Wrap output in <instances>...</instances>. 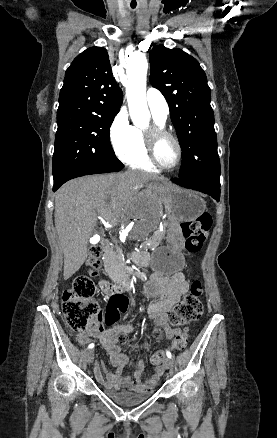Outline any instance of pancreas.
Wrapping results in <instances>:
<instances>
[{
	"label": "pancreas",
	"instance_id": "cf45deb5",
	"mask_svg": "<svg viewBox=\"0 0 277 438\" xmlns=\"http://www.w3.org/2000/svg\"><path fill=\"white\" fill-rule=\"evenodd\" d=\"M167 231L164 228L159 229V231H152L151 235L148 239H145L144 244L139 247V250L142 253H145L148 248H159L161 237L166 236ZM110 251H105L104 253V266L107 267V270H120L121 264L126 263L124 260L121 262V258L126 255L123 253H118V247L115 244H112L109 247Z\"/></svg>",
	"mask_w": 277,
	"mask_h": 438
}]
</instances>
